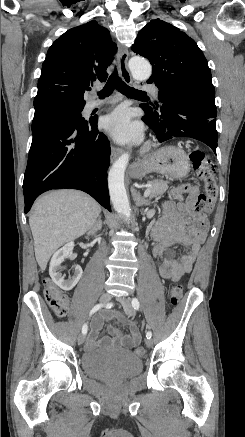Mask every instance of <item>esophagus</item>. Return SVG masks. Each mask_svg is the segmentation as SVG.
I'll return each mask as SVG.
<instances>
[{
	"instance_id": "esophagus-1",
	"label": "esophagus",
	"mask_w": 245,
	"mask_h": 437,
	"mask_svg": "<svg viewBox=\"0 0 245 437\" xmlns=\"http://www.w3.org/2000/svg\"><path fill=\"white\" fill-rule=\"evenodd\" d=\"M128 62V50L125 46L119 45V52H118V67L121 74L122 79L127 84L132 83V78L130 75V72L127 67ZM121 150L117 147H113L110 155L111 162H113L118 155L120 154Z\"/></svg>"
}]
</instances>
